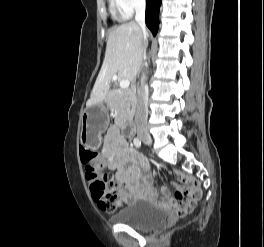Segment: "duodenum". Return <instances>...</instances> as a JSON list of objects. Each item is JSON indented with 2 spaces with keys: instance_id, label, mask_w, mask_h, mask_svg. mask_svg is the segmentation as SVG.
<instances>
[{
  "instance_id": "duodenum-1",
  "label": "duodenum",
  "mask_w": 264,
  "mask_h": 247,
  "mask_svg": "<svg viewBox=\"0 0 264 247\" xmlns=\"http://www.w3.org/2000/svg\"><path fill=\"white\" fill-rule=\"evenodd\" d=\"M125 128L129 131V133H133L134 132V123L132 119H128L125 123Z\"/></svg>"
}]
</instances>
